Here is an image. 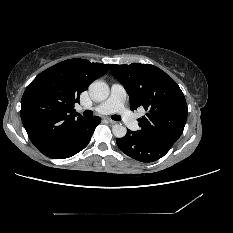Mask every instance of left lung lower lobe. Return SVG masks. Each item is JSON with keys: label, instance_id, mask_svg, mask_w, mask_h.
Masks as SVG:
<instances>
[{"label": "left lung lower lobe", "instance_id": "1", "mask_svg": "<svg viewBox=\"0 0 233 233\" xmlns=\"http://www.w3.org/2000/svg\"><path fill=\"white\" fill-rule=\"evenodd\" d=\"M119 149L127 156L141 162H153L163 157L172 147L171 145L148 140L136 132L127 130L122 138H117Z\"/></svg>", "mask_w": 233, "mask_h": 233}]
</instances>
